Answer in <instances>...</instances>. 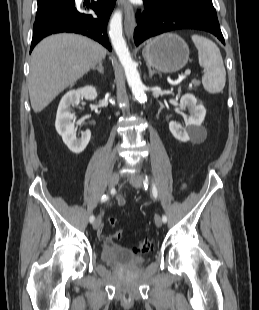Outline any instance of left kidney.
Returning <instances> with one entry per match:
<instances>
[{
  "label": "left kidney",
  "mask_w": 259,
  "mask_h": 310,
  "mask_svg": "<svg viewBox=\"0 0 259 310\" xmlns=\"http://www.w3.org/2000/svg\"><path fill=\"white\" fill-rule=\"evenodd\" d=\"M180 108H188L190 116L186 121V127L182 126L174 121L169 123V129L172 135L182 141L188 142L190 140L200 141L201 140V124L204 121L206 115V109L202 104L197 103V99L192 94H185L181 97Z\"/></svg>",
  "instance_id": "obj_1"
}]
</instances>
